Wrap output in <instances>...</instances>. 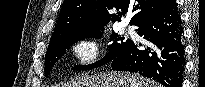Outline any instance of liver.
Here are the masks:
<instances>
[{"mask_svg":"<svg viewBox=\"0 0 205 87\" xmlns=\"http://www.w3.org/2000/svg\"><path fill=\"white\" fill-rule=\"evenodd\" d=\"M61 87H159V85L137 74L109 72L78 77Z\"/></svg>","mask_w":205,"mask_h":87,"instance_id":"6515ba94","label":"liver"}]
</instances>
